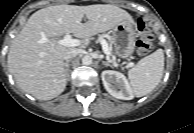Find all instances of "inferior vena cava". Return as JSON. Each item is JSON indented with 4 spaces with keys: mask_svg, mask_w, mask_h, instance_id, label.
Segmentation results:
<instances>
[{
    "mask_svg": "<svg viewBox=\"0 0 194 133\" xmlns=\"http://www.w3.org/2000/svg\"><path fill=\"white\" fill-rule=\"evenodd\" d=\"M78 53H79V49L70 48L64 53L63 58H64V60H68V59L76 57L78 55Z\"/></svg>",
    "mask_w": 194,
    "mask_h": 133,
    "instance_id": "inferior-vena-cava-1",
    "label": "inferior vena cava"
}]
</instances>
